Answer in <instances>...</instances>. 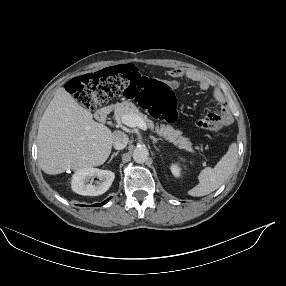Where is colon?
<instances>
[{"label": "colon", "mask_w": 286, "mask_h": 286, "mask_svg": "<svg viewBox=\"0 0 286 286\" xmlns=\"http://www.w3.org/2000/svg\"><path fill=\"white\" fill-rule=\"evenodd\" d=\"M70 92L87 109L94 110L116 96L137 99L150 113L161 120H177L175 98L169 85L144 76L132 65H120L74 78L69 83ZM222 121L217 111L210 110L199 118V129L217 130Z\"/></svg>", "instance_id": "colon-1"}]
</instances>
